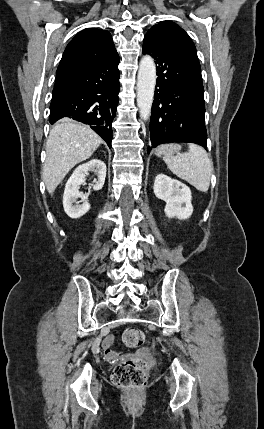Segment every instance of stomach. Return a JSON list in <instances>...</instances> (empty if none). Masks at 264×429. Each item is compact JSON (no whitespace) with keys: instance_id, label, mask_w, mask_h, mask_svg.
I'll list each match as a JSON object with an SVG mask.
<instances>
[{"instance_id":"obj_1","label":"stomach","mask_w":264,"mask_h":429,"mask_svg":"<svg viewBox=\"0 0 264 429\" xmlns=\"http://www.w3.org/2000/svg\"><path fill=\"white\" fill-rule=\"evenodd\" d=\"M180 146L177 144H165L156 149L155 154L157 156H172L175 153H178Z\"/></svg>"}]
</instances>
